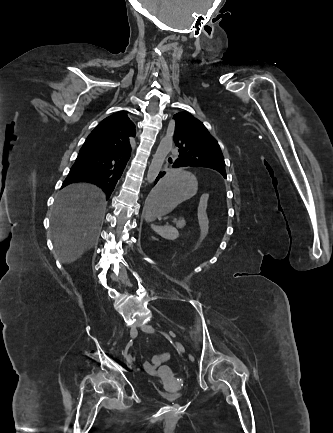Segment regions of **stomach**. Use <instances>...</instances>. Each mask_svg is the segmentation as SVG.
I'll return each instance as SVG.
<instances>
[{
	"label": "stomach",
	"mask_w": 333,
	"mask_h": 433,
	"mask_svg": "<svg viewBox=\"0 0 333 433\" xmlns=\"http://www.w3.org/2000/svg\"><path fill=\"white\" fill-rule=\"evenodd\" d=\"M197 192L196 178L187 169H170L166 176H159V183H152L144 204L143 220H165L177 205L193 199Z\"/></svg>",
	"instance_id": "stomach-1"
}]
</instances>
